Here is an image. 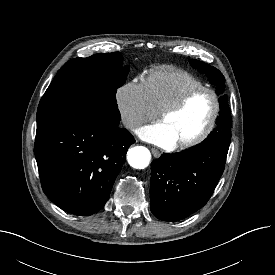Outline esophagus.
<instances>
[{
    "mask_svg": "<svg viewBox=\"0 0 275 275\" xmlns=\"http://www.w3.org/2000/svg\"><path fill=\"white\" fill-rule=\"evenodd\" d=\"M151 152H152L153 156L156 157V158H159L160 155H161V153L159 152V150H157L156 148H152Z\"/></svg>",
    "mask_w": 275,
    "mask_h": 275,
    "instance_id": "esophagus-1",
    "label": "esophagus"
}]
</instances>
